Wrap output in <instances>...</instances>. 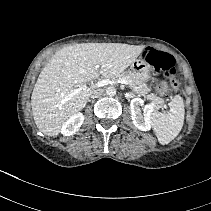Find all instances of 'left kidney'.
<instances>
[{
    "label": "left kidney",
    "mask_w": 211,
    "mask_h": 211,
    "mask_svg": "<svg viewBox=\"0 0 211 211\" xmlns=\"http://www.w3.org/2000/svg\"><path fill=\"white\" fill-rule=\"evenodd\" d=\"M144 101L140 98H134L130 102L131 118L134 126L141 131L151 129L150 117L155 108V105L147 104L144 107ZM143 107V113H141Z\"/></svg>",
    "instance_id": "1"
}]
</instances>
